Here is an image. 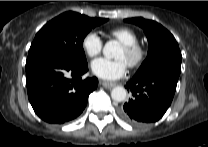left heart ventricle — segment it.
I'll return each instance as SVG.
<instances>
[{
  "mask_svg": "<svg viewBox=\"0 0 208 147\" xmlns=\"http://www.w3.org/2000/svg\"><path fill=\"white\" fill-rule=\"evenodd\" d=\"M117 58H121L124 59L127 64L130 62L131 58L130 56L126 53V51L123 49V47L119 50L117 56Z\"/></svg>",
  "mask_w": 208,
  "mask_h": 147,
  "instance_id": "1",
  "label": "left heart ventricle"
}]
</instances>
